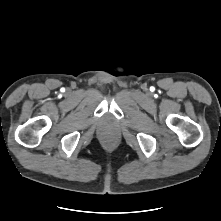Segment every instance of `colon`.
<instances>
[{
	"mask_svg": "<svg viewBox=\"0 0 221 221\" xmlns=\"http://www.w3.org/2000/svg\"><path fill=\"white\" fill-rule=\"evenodd\" d=\"M105 144H106V146H108V147H113V146H114V142H113L112 140H107V141L105 142Z\"/></svg>",
	"mask_w": 221,
	"mask_h": 221,
	"instance_id": "1",
	"label": "colon"
}]
</instances>
